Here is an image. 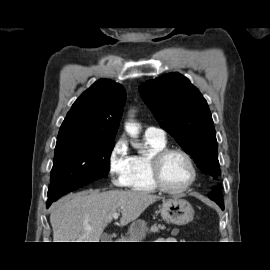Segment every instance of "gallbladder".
Returning a JSON list of instances; mask_svg holds the SVG:
<instances>
[{"mask_svg": "<svg viewBox=\"0 0 270 270\" xmlns=\"http://www.w3.org/2000/svg\"><path fill=\"white\" fill-rule=\"evenodd\" d=\"M102 239L105 240V241H109V240H111V236L109 234H104L102 236Z\"/></svg>", "mask_w": 270, "mask_h": 270, "instance_id": "bac80fb5", "label": "gallbladder"}]
</instances>
